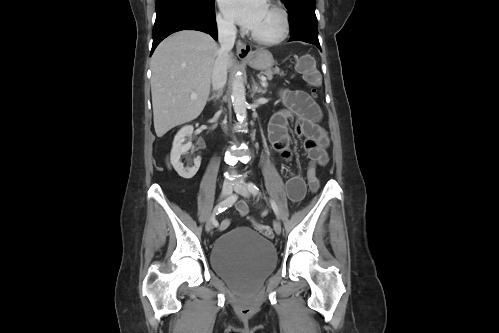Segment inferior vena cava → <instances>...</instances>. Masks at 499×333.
Returning a JSON list of instances; mask_svg holds the SVG:
<instances>
[{"instance_id":"602c4592","label":"inferior vena cava","mask_w":499,"mask_h":333,"mask_svg":"<svg viewBox=\"0 0 499 333\" xmlns=\"http://www.w3.org/2000/svg\"><path fill=\"white\" fill-rule=\"evenodd\" d=\"M218 40L221 45L217 52L212 73V87L215 91H221L227 82V67L229 53L236 39V27L227 21H218Z\"/></svg>"}]
</instances>
